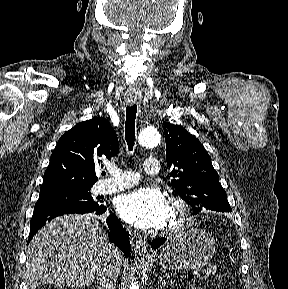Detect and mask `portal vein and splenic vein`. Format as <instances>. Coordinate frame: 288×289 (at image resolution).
Wrapping results in <instances>:
<instances>
[{
  "label": "portal vein and splenic vein",
  "mask_w": 288,
  "mask_h": 289,
  "mask_svg": "<svg viewBox=\"0 0 288 289\" xmlns=\"http://www.w3.org/2000/svg\"><path fill=\"white\" fill-rule=\"evenodd\" d=\"M201 275H202L201 273L196 274L197 278H200Z\"/></svg>",
  "instance_id": "18ae733b"
}]
</instances>
